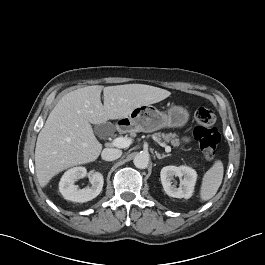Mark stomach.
I'll use <instances>...</instances> for the list:
<instances>
[{
	"label": "stomach",
	"mask_w": 265,
	"mask_h": 265,
	"mask_svg": "<svg viewBox=\"0 0 265 265\" xmlns=\"http://www.w3.org/2000/svg\"><path fill=\"white\" fill-rule=\"evenodd\" d=\"M188 111L178 105H172L166 113L154 106L143 105L135 108L127 117L120 119L121 127L128 131L153 132L161 128H179L187 124Z\"/></svg>",
	"instance_id": "stomach-1"
}]
</instances>
